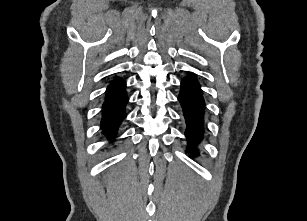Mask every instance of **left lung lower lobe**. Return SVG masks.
Returning <instances> with one entry per match:
<instances>
[{
    "label": "left lung lower lobe",
    "mask_w": 307,
    "mask_h": 221,
    "mask_svg": "<svg viewBox=\"0 0 307 221\" xmlns=\"http://www.w3.org/2000/svg\"><path fill=\"white\" fill-rule=\"evenodd\" d=\"M184 116L187 129L185 132L191 149L203 138V115L205 102L201 94L198 81L193 74H190L181 81V91L178 97Z\"/></svg>",
    "instance_id": "left-lung-lower-lobe-1"
}]
</instances>
